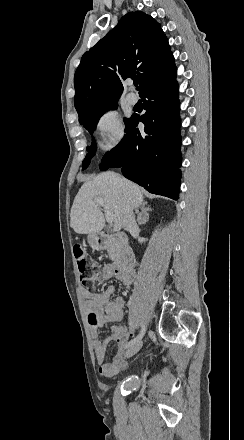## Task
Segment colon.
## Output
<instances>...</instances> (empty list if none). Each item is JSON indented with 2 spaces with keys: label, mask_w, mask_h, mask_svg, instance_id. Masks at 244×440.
<instances>
[{
  "label": "colon",
  "mask_w": 244,
  "mask_h": 440,
  "mask_svg": "<svg viewBox=\"0 0 244 440\" xmlns=\"http://www.w3.org/2000/svg\"><path fill=\"white\" fill-rule=\"evenodd\" d=\"M74 254L77 259L78 270L84 287L89 290L94 289L96 284L94 272H98L99 263L95 260L90 261L86 249L80 244L75 245ZM90 317L96 318L97 312L91 311Z\"/></svg>",
  "instance_id": "obj_1"
}]
</instances>
